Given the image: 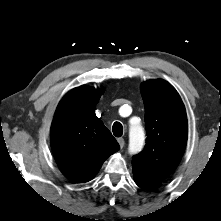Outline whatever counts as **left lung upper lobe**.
<instances>
[{"mask_svg":"<svg viewBox=\"0 0 221 221\" xmlns=\"http://www.w3.org/2000/svg\"><path fill=\"white\" fill-rule=\"evenodd\" d=\"M141 95L147 138L143 151L133 157L132 166L161 182L183 156L188 136L186 111L178 92L165 80L144 82Z\"/></svg>","mask_w":221,"mask_h":221,"instance_id":"1","label":"left lung upper lobe"}]
</instances>
